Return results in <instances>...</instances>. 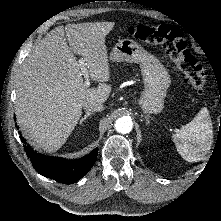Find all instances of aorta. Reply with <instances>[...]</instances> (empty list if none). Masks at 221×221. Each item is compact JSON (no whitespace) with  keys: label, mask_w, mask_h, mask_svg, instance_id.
I'll list each match as a JSON object with an SVG mask.
<instances>
[{"label":"aorta","mask_w":221,"mask_h":221,"mask_svg":"<svg viewBox=\"0 0 221 221\" xmlns=\"http://www.w3.org/2000/svg\"><path fill=\"white\" fill-rule=\"evenodd\" d=\"M115 128L121 134L129 133L133 128L132 120L129 117H121L116 120Z\"/></svg>","instance_id":"1"}]
</instances>
